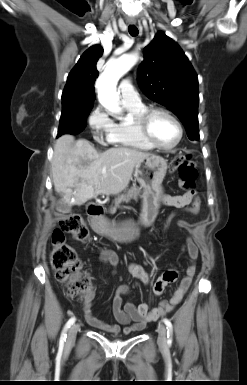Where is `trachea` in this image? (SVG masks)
<instances>
[{
	"instance_id": "obj_1",
	"label": "trachea",
	"mask_w": 247,
	"mask_h": 385,
	"mask_svg": "<svg viewBox=\"0 0 247 385\" xmlns=\"http://www.w3.org/2000/svg\"><path fill=\"white\" fill-rule=\"evenodd\" d=\"M128 31H129V34L133 37L137 36L138 35V29L135 25H130L128 27Z\"/></svg>"
}]
</instances>
